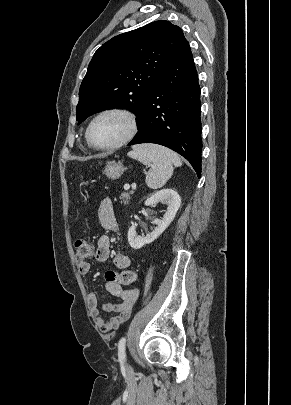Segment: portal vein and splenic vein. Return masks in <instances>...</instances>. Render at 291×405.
Segmentation results:
<instances>
[{"label": "portal vein and splenic vein", "mask_w": 291, "mask_h": 405, "mask_svg": "<svg viewBox=\"0 0 291 405\" xmlns=\"http://www.w3.org/2000/svg\"><path fill=\"white\" fill-rule=\"evenodd\" d=\"M124 189H125V190H129V189H130V185H129V184H125V185H124Z\"/></svg>", "instance_id": "1"}]
</instances>
